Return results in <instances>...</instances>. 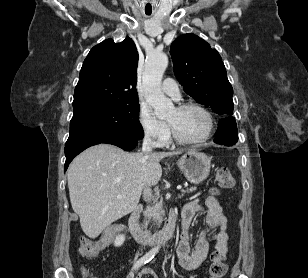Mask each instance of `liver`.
<instances>
[{
    "instance_id": "obj_1",
    "label": "liver",
    "mask_w": 308,
    "mask_h": 278,
    "mask_svg": "<svg viewBox=\"0 0 308 278\" xmlns=\"http://www.w3.org/2000/svg\"><path fill=\"white\" fill-rule=\"evenodd\" d=\"M178 154L154 152L147 156L98 144L78 155L68 168L67 179L71 205L83 232L96 238L106 226L134 211L142 192L160 181V161Z\"/></svg>"
}]
</instances>
